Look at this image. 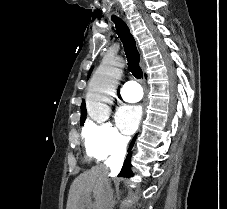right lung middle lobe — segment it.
Wrapping results in <instances>:
<instances>
[{
  "instance_id": "1",
  "label": "right lung middle lobe",
  "mask_w": 227,
  "mask_h": 209,
  "mask_svg": "<svg viewBox=\"0 0 227 209\" xmlns=\"http://www.w3.org/2000/svg\"><path fill=\"white\" fill-rule=\"evenodd\" d=\"M84 122H85V119H81V120H80V125H83Z\"/></svg>"
}]
</instances>
